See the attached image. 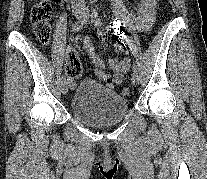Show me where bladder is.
I'll list each match as a JSON object with an SVG mask.
<instances>
[{"label": "bladder", "instance_id": "31cf9c89", "mask_svg": "<svg viewBox=\"0 0 207 179\" xmlns=\"http://www.w3.org/2000/svg\"><path fill=\"white\" fill-rule=\"evenodd\" d=\"M70 106L76 118L91 126L116 123L128 112V102L123 97L88 79L78 86Z\"/></svg>", "mask_w": 207, "mask_h": 179}]
</instances>
